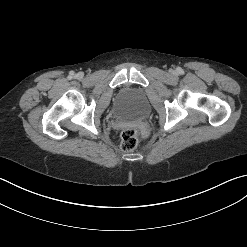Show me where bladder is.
Masks as SVG:
<instances>
[{
	"label": "bladder",
	"mask_w": 247,
	"mask_h": 247,
	"mask_svg": "<svg viewBox=\"0 0 247 247\" xmlns=\"http://www.w3.org/2000/svg\"><path fill=\"white\" fill-rule=\"evenodd\" d=\"M148 99L141 88L130 86L123 88L115 101L114 113L117 117L127 120H137L146 116Z\"/></svg>",
	"instance_id": "31cf9c89"
}]
</instances>
